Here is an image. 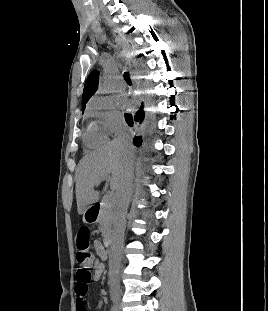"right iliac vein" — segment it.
Masks as SVG:
<instances>
[{
	"instance_id": "1",
	"label": "right iliac vein",
	"mask_w": 268,
	"mask_h": 311,
	"mask_svg": "<svg viewBox=\"0 0 268 311\" xmlns=\"http://www.w3.org/2000/svg\"><path fill=\"white\" fill-rule=\"evenodd\" d=\"M111 299L113 301V306L116 311L121 310V304H120V291L116 288H112L110 291Z\"/></svg>"
}]
</instances>
